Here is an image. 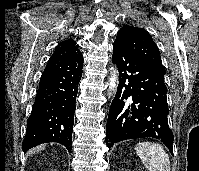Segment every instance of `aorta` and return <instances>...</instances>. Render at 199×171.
<instances>
[{"label":"aorta","mask_w":199,"mask_h":171,"mask_svg":"<svg viewBox=\"0 0 199 171\" xmlns=\"http://www.w3.org/2000/svg\"><path fill=\"white\" fill-rule=\"evenodd\" d=\"M118 82V76L115 72L111 75L110 82H109V88L110 90H115L117 87Z\"/></svg>","instance_id":"762f6f07"}]
</instances>
